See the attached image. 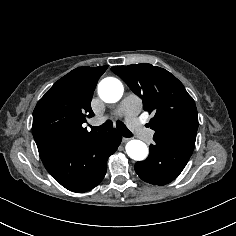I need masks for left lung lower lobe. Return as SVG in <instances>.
Wrapping results in <instances>:
<instances>
[{"label": "left lung lower lobe", "instance_id": "left-lung-lower-lobe-1", "mask_svg": "<svg viewBox=\"0 0 236 236\" xmlns=\"http://www.w3.org/2000/svg\"><path fill=\"white\" fill-rule=\"evenodd\" d=\"M150 153L145 161L135 164L139 177L154 185H165L173 181L184 169L191 151L181 149L168 142L154 140Z\"/></svg>", "mask_w": 236, "mask_h": 236}]
</instances>
